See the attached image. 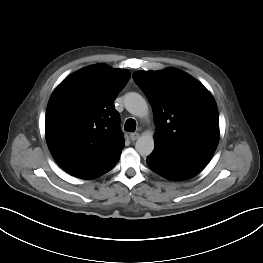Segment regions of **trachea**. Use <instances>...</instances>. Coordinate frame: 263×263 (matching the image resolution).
Instances as JSON below:
<instances>
[{"instance_id":"3493384b","label":"trachea","mask_w":263,"mask_h":263,"mask_svg":"<svg viewBox=\"0 0 263 263\" xmlns=\"http://www.w3.org/2000/svg\"><path fill=\"white\" fill-rule=\"evenodd\" d=\"M124 130L134 132L136 130V121L134 119H128L124 125Z\"/></svg>"}]
</instances>
